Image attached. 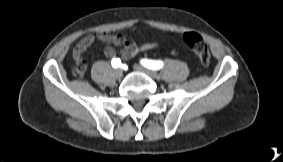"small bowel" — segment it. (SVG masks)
Returning a JSON list of instances; mask_svg holds the SVG:
<instances>
[{
    "label": "small bowel",
    "mask_w": 283,
    "mask_h": 162,
    "mask_svg": "<svg viewBox=\"0 0 283 162\" xmlns=\"http://www.w3.org/2000/svg\"><path fill=\"white\" fill-rule=\"evenodd\" d=\"M96 41L108 44L104 50V55L107 58L115 56L114 46L121 47V57L123 59H129L139 52L152 50L160 46L158 42H148L141 46H137L134 42L127 40L122 34H113L106 31L97 34H88L76 44L73 50V58L76 64H82L84 71L86 70V64L82 59V54Z\"/></svg>",
    "instance_id": "c3829d8e"
}]
</instances>
